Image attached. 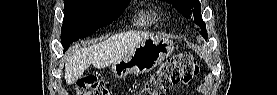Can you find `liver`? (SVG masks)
<instances>
[{"instance_id":"6515ba94","label":"liver","mask_w":277,"mask_h":95,"mask_svg":"<svg viewBox=\"0 0 277 95\" xmlns=\"http://www.w3.org/2000/svg\"><path fill=\"white\" fill-rule=\"evenodd\" d=\"M154 37L147 32H124L92 46L76 49L65 60V80L68 85L80 79L92 64L95 68H105L124 57L143 40Z\"/></svg>"}]
</instances>
